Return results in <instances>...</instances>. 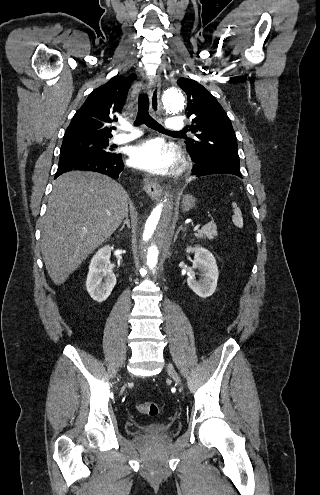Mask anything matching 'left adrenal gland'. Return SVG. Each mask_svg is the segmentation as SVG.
<instances>
[{
    "label": "left adrenal gland",
    "mask_w": 320,
    "mask_h": 495,
    "mask_svg": "<svg viewBox=\"0 0 320 495\" xmlns=\"http://www.w3.org/2000/svg\"><path fill=\"white\" fill-rule=\"evenodd\" d=\"M180 231L185 232V229L182 227V225H181V226H179V228H178V230H177V232H176V235H175V237H176V238H177V236H178V234H179V232H180Z\"/></svg>",
    "instance_id": "obj_1"
}]
</instances>
